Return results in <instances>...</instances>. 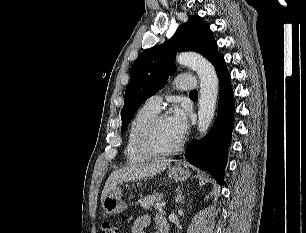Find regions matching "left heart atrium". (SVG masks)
<instances>
[{
    "label": "left heart atrium",
    "instance_id": "left-heart-atrium-1",
    "mask_svg": "<svg viewBox=\"0 0 306 233\" xmlns=\"http://www.w3.org/2000/svg\"><path fill=\"white\" fill-rule=\"evenodd\" d=\"M168 119L174 135L180 141L188 130V117L186 111L181 107H175Z\"/></svg>",
    "mask_w": 306,
    "mask_h": 233
}]
</instances>
